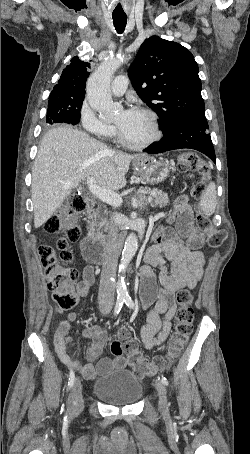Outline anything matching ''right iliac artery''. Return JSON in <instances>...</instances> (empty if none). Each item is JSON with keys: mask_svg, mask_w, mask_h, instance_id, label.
<instances>
[{"mask_svg": "<svg viewBox=\"0 0 250 454\" xmlns=\"http://www.w3.org/2000/svg\"><path fill=\"white\" fill-rule=\"evenodd\" d=\"M123 303H124V299H122V298H120V299L118 298L117 299L116 305H115V308H114V315L119 314V312H120V310H121V308L123 306ZM74 381H75V374H74L73 370L71 369L70 370V375H69V380H68L67 391L73 387Z\"/></svg>", "mask_w": 250, "mask_h": 454, "instance_id": "82829eb1", "label": "right iliac artery"}]
</instances>
